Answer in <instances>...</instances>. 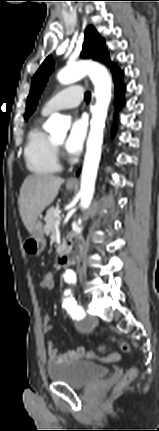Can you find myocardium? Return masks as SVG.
I'll use <instances>...</instances> for the list:
<instances>
[{
	"label": "myocardium",
	"instance_id": "f54148a6",
	"mask_svg": "<svg viewBox=\"0 0 159 431\" xmlns=\"http://www.w3.org/2000/svg\"><path fill=\"white\" fill-rule=\"evenodd\" d=\"M54 145H55L56 149L59 147V144L56 142H54Z\"/></svg>",
	"mask_w": 159,
	"mask_h": 431
}]
</instances>
